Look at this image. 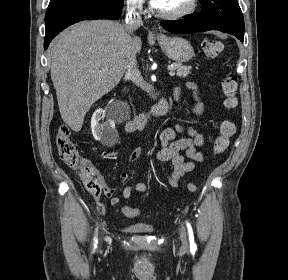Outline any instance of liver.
I'll use <instances>...</instances> for the list:
<instances>
[{
	"mask_svg": "<svg viewBox=\"0 0 288 280\" xmlns=\"http://www.w3.org/2000/svg\"><path fill=\"white\" fill-rule=\"evenodd\" d=\"M125 26L111 20L84 21L51 46V79L59 111L75 132L93 103L111 91L127 68L128 56L141 50Z\"/></svg>",
	"mask_w": 288,
	"mask_h": 280,
	"instance_id": "1",
	"label": "liver"
}]
</instances>
